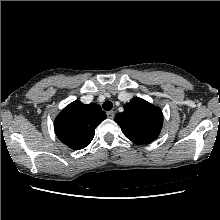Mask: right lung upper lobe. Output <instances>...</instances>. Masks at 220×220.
Instances as JSON below:
<instances>
[{
  "mask_svg": "<svg viewBox=\"0 0 220 220\" xmlns=\"http://www.w3.org/2000/svg\"><path fill=\"white\" fill-rule=\"evenodd\" d=\"M106 118L96 104H83L76 100L57 116L54 129L61 142L71 149H83L93 139L95 128Z\"/></svg>",
  "mask_w": 220,
  "mask_h": 220,
  "instance_id": "1",
  "label": "right lung upper lobe"
}]
</instances>
